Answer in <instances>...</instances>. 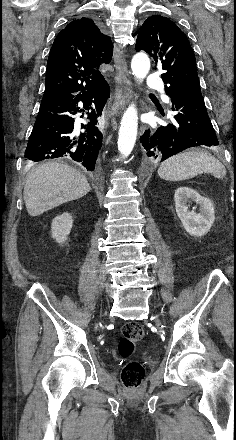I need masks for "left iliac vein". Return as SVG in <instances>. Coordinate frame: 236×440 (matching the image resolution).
<instances>
[{"label":"left iliac vein","instance_id":"left-iliac-vein-1","mask_svg":"<svg viewBox=\"0 0 236 440\" xmlns=\"http://www.w3.org/2000/svg\"><path fill=\"white\" fill-rule=\"evenodd\" d=\"M154 321H155L157 327L160 329L161 328V321L159 320V318L155 317Z\"/></svg>","mask_w":236,"mask_h":440}]
</instances>
